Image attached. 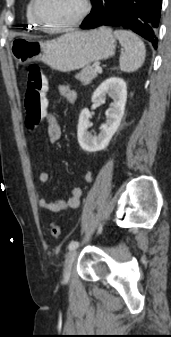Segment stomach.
Returning <instances> with one entry per match:
<instances>
[{
    "label": "stomach",
    "mask_w": 171,
    "mask_h": 337,
    "mask_svg": "<svg viewBox=\"0 0 171 337\" xmlns=\"http://www.w3.org/2000/svg\"><path fill=\"white\" fill-rule=\"evenodd\" d=\"M115 49L116 39L108 27L67 33L50 41L17 38L11 43V53L19 64L43 61L62 72L108 59L114 55Z\"/></svg>",
    "instance_id": "0dacf381"
}]
</instances>
